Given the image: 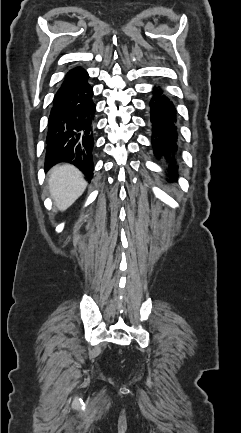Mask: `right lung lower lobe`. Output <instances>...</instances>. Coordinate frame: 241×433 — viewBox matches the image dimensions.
Returning <instances> with one entry per match:
<instances>
[{
    "label": "right lung lower lobe",
    "instance_id": "right-lung-lower-lobe-1",
    "mask_svg": "<svg viewBox=\"0 0 241 433\" xmlns=\"http://www.w3.org/2000/svg\"><path fill=\"white\" fill-rule=\"evenodd\" d=\"M87 79L85 70L73 68L55 94L48 120L45 166L47 170L58 162H69L90 180L96 105Z\"/></svg>",
    "mask_w": 241,
    "mask_h": 433
}]
</instances>
